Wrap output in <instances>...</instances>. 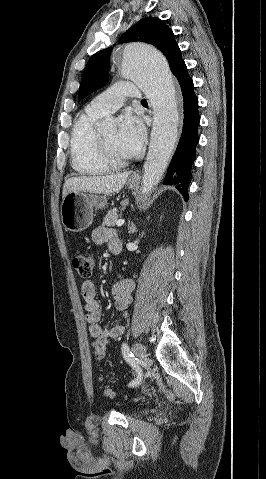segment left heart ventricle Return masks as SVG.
Instances as JSON below:
<instances>
[{
	"label": "left heart ventricle",
	"mask_w": 266,
	"mask_h": 479,
	"mask_svg": "<svg viewBox=\"0 0 266 479\" xmlns=\"http://www.w3.org/2000/svg\"><path fill=\"white\" fill-rule=\"evenodd\" d=\"M101 134L104 137L108 147L116 157L121 159L127 158L120 148L118 141V130L116 128L106 129L102 131Z\"/></svg>",
	"instance_id": "obj_1"
}]
</instances>
